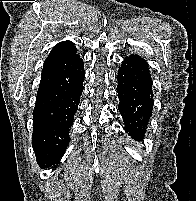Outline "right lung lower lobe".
Masks as SVG:
<instances>
[{"mask_svg":"<svg viewBox=\"0 0 196 201\" xmlns=\"http://www.w3.org/2000/svg\"><path fill=\"white\" fill-rule=\"evenodd\" d=\"M82 58L55 56L45 60L33 110L32 146L39 166L57 163L68 143L85 77Z\"/></svg>","mask_w":196,"mask_h":201,"instance_id":"98d812e1","label":"right lung lower lobe"}]
</instances>
